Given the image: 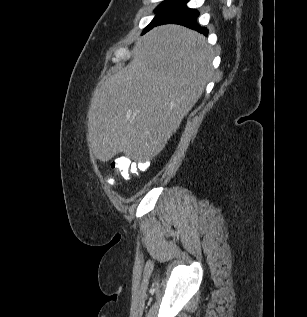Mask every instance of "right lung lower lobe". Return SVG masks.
Instances as JSON below:
<instances>
[{"mask_svg":"<svg viewBox=\"0 0 307 317\" xmlns=\"http://www.w3.org/2000/svg\"><path fill=\"white\" fill-rule=\"evenodd\" d=\"M188 1L189 0H175L171 7H169L156 21L146 27L143 33L157 25L173 23L186 26L207 35L208 30L197 23L199 12L196 9L187 7L186 3Z\"/></svg>","mask_w":307,"mask_h":317,"instance_id":"obj_1","label":"right lung lower lobe"}]
</instances>
